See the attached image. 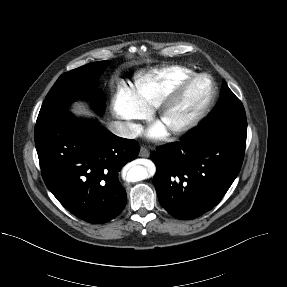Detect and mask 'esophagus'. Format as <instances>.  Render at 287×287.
<instances>
[{"label":"esophagus","instance_id":"obj_1","mask_svg":"<svg viewBox=\"0 0 287 287\" xmlns=\"http://www.w3.org/2000/svg\"><path fill=\"white\" fill-rule=\"evenodd\" d=\"M149 154H150L149 151L145 147L140 148V153H139L140 157L146 158V157H149Z\"/></svg>","mask_w":287,"mask_h":287}]
</instances>
